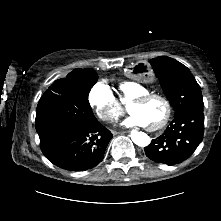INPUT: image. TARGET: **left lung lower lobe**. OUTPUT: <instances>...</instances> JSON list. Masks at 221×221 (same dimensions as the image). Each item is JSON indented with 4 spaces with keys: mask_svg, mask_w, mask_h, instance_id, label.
Returning a JSON list of instances; mask_svg holds the SVG:
<instances>
[{
    "mask_svg": "<svg viewBox=\"0 0 221 221\" xmlns=\"http://www.w3.org/2000/svg\"><path fill=\"white\" fill-rule=\"evenodd\" d=\"M203 108H192L176 115L166 131L145 147L148 158L156 163L175 165L188 159L202 142L204 134ZM175 143L174 152L168 148Z\"/></svg>",
    "mask_w": 221,
    "mask_h": 221,
    "instance_id": "1",
    "label": "left lung lower lobe"
}]
</instances>
